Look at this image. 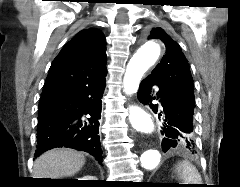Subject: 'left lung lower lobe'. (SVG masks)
<instances>
[{
  "mask_svg": "<svg viewBox=\"0 0 240 187\" xmlns=\"http://www.w3.org/2000/svg\"><path fill=\"white\" fill-rule=\"evenodd\" d=\"M154 85L159 88L157 97H153L152 94ZM137 96L141 103L149 105L154 113H159V116H162L161 134L164 136L162 141L164 152L174 148H181L191 153L195 152L194 137H187L193 133L194 101L160 87L149 76L141 82ZM154 99L160 100L161 109L158 104H152Z\"/></svg>",
  "mask_w": 240,
  "mask_h": 187,
  "instance_id": "1",
  "label": "left lung lower lobe"
}]
</instances>
